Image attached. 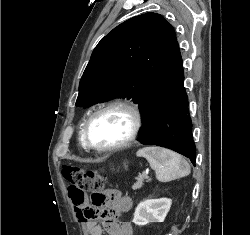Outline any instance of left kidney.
Segmentation results:
<instances>
[{
	"label": "left kidney",
	"instance_id": "5707ae66",
	"mask_svg": "<svg viewBox=\"0 0 250 235\" xmlns=\"http://www.w3.org/2000/svg\"><path fill=\"white\" fill-rule=\"evenodd\" d=\"M171 204L172 200L169 198L145 200L135 209L133 223L143 226L152 222H163Z\"/></svg>",
	"mask_w": 250,
	"mask_h": 235
}]
</instances>
